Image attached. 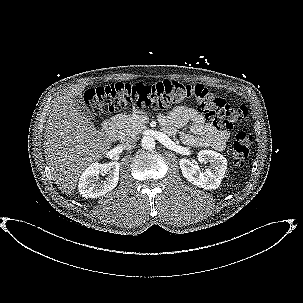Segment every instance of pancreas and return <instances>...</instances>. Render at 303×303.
<instances>
[{
	"mask_svg": "<svg viewBox=\"0 0 303 303\" xmlns=\"http://www.w3.org/2000/svg\"><path fill=\"white\" fill-rule=\"evenodd\" d=\"M115 127L119 137L139 133L146 128L141 116L126 114H120L116 117Z\"/></svg>",
	"mask_w": 303,
	"mask_h": 303,
	"instance_id": "obj_1",
	"label": "pancreas"
}]
</instances>
